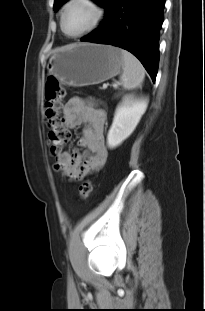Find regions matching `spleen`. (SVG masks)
<instances>
[{"label": "spleen", "instance_id": "spleen-1", "mask_svg": "<svg viewBox=\"0 0 205 311\" xmlns=\"http://www.w3.org/2000/svg\"><path fill=\"white\" fill-rule=\"evenodd\" d=\"M123 72L120 76L125 90H132L142 85L145 77V69L141 62L130 52L122 50Z\"/></svg>", "mask_w": 205, "mask_h": 311}]
</instances>
